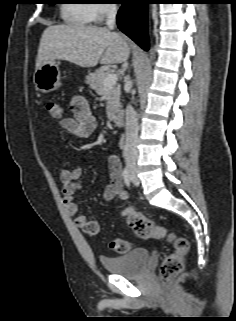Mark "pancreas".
<instances>
[{"mask_svg":"<svg viewBox=\"0 0 236 321\" xmlns=\"http://www.w3.org/2000/svg\"><path fill=\"white\" fill-rule=\"evenodd\" d=\"M109 73H111L110 68L105 67L97 69L93 73L89 72L86 83L100 96L104 95L108 89L106 113L109 119H113L120 109V86L115 84L108 88L104 85V78Z\"/></svg>","mask_w":236,"mask_h":321,"instance_id":"1","label":"pancreas"}]
</instances>
